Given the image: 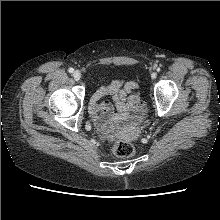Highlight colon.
I'll use <instances>...</instances> for the list:
<instances>
[{"instance_id":"5ec220e1","label":"colon","mask_w":220,"mask_h":220,"mask_svg":"<svg viewBox=\"0 0 220 220\" xmlns=\"http://www.w3.org/2000/svg\"><path fill=\"white\" fill-rule=\"evenodd\" d=\"M112 151L117 157L128 158L134 155L135 147L130 142L117 140L112 145Z\"/></svg>"}]
</instances>
